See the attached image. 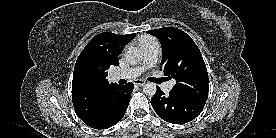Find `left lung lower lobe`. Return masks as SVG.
<instances>
[{
    "instance_id": "left-lung-lower-lobe-1",
    "label": "left lung lower lobe",
    "mask_w": 276,
    "mask_h": 138,
    "mask_svg": "<svg viewBox=\"0 0 276 138\" xmlns=\"http://www.w3.org/2000/svg\"><path fill=\"white\" fill-rule=\"evenodd\" d=\"M156 114L173 124H184L196 118L203 110L205 103L190 100L172 92L165 96L159 87L151 99Z\"/></svg>"
}]
</instances>
